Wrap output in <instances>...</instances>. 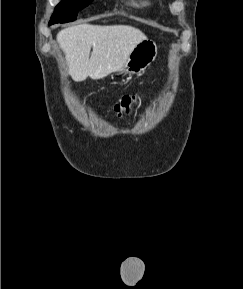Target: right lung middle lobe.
Returning a JSON list of instances; mask_svg holds the SVG:
<instances>
[{
    "label": "right lung middle lobe",
    "instance_id": "right-lung-middle-lobe-1",
    "mask_svg": "<svg viewBox=\"0 0 243 289\" xmlns=\"http://www.w3.org/2000/svg\"><path fill=\"white\" fill-rule=\"evenodd\" d=\"M92 1L93 0H62V2L56 6L49 24L74 21L77 17V12Z\"/></svg>",
    "mask_w": 243,
    "mask_h": 289
}]
</instances>
